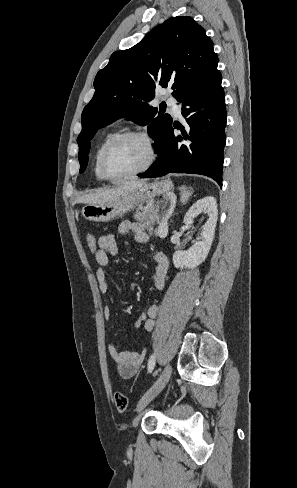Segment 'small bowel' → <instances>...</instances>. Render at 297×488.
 Here are the masks:
<instances>
[{
  "mask_svg": "<svg viewBox=\"0 0 297 488\" xmlns=\"http://www.w3.org/2000/svg\"><path fill=\"white\" fill-rule=\"evenodd\" d=\"M118 232L120 234L132 233L133 238L137 243H148L150 241L149 234L144 227L136 222L124 221L119 224ZM118 254V245L113 234H105L98 238V250L94 254L97 262L96 279L99 289L102 293H106L109 288V282L106 275L105 268L109 263V256H116ZM155 267L151 274V281L157 290H162L166 284L167 271L169 263L167 257L162 252H155L153 255ZM112 309L110 306H105L104 316L109 319ZM159 314V306L156 304L150 305L146 312L141 314L137 319V327L150 332L155 327V319ZM109 353L114 360L117 372L121 378L130 379L134 377L140 370L145 358V351H119L113 342L109 344Z\"/></svg>",
  "mask_w": 297,
  "mask_h": 488,
  "instance_id": "1",
  "label": "small bowel"
}]
</instances>
